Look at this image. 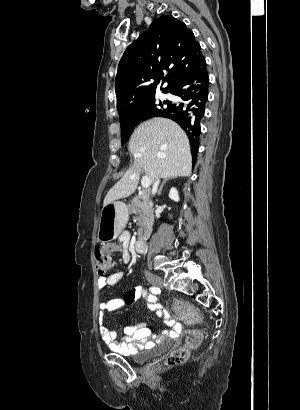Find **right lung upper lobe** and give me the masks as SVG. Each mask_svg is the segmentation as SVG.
Masks as SVG:
<instances>
[{
    "mask_svg": "<svg viewBox=\"0 0 300 410\" xmlns=\"http://www.w3.org/2000/svg\"><path fill=\"white\" fill-rule=\"evenodd\" d=\"M202 57L201 47L185 23L172 15L155 20L120 60L115 79L120 122L139 115L161 82L167 83L161 90L170 92L177 79Z\"/></svg>",
    "mask_w": 300,
    "mask_h": 410,
    "instance_id": "cb5924a9",
    "label": "right lung upper lobe"
}]
</instances>
